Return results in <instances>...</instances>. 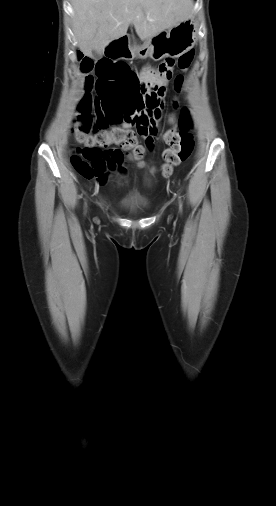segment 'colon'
Instances as JSON below:
<instances>
[{
  "label": "colon",
  "instance_id": "5ec220e1",
  "mask_svg": "<svg viewBox=\"0 0 276 506\" xmlns=\"http://www.w3.org/2000/svg\"><path fill=\"white\" fill-rule=\"evenodd\" d=\"M74 55L78 58L81 72L86 75L85 89L89 90L95 86L98 93V97L85 94L78 103L74 134L81 147L75 149L71 156L74 169L85 178L98 177L105 172L111 156H122L120 150L109 148L113 143L122 148L130 161L141 167L146 149L138 143L135 132L124 128H108L119 122L135 125L140 134L148 133L147 146L151 147L155 135L150 131L152 120L163 107L165 88L150 82H142L139 85L142 71L123 66L134 56L129 59L104 58L99 54L98 63L94 64L93 57L88 55L86 50H78ZM193 58L194 51L183 53L177 60L178 68L182 71L188 70ZM174 63L175 61L169 58L158 66V70L170 78ZM93 69L96 71V79L90 75ZM182 83L183 77L176 76L175 89L179 90ZM169 121L173 127L163 135L168 145L163 152L164 164L161 171L164 177L171 176L175 166L188 160L194 148L191 134L193 123L189 111L182 110L179 118L170 115Z\"/></svg>",
  "mask_w": 276,
  "mask_h": 506
}]
</instances>
